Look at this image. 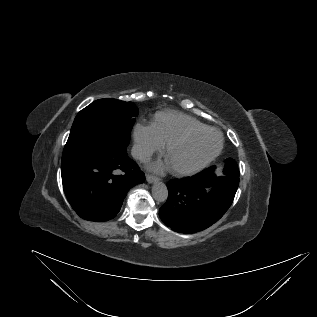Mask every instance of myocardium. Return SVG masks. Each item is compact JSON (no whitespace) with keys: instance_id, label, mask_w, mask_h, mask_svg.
<instances>
[{"instance_id":"f54148a6","label":"myocardium","mask_w":317,"mask_h":317,"mask_svg":"<svg viewBox=\"0 0 317 317\" xmlns=\"http://www.w3.org/2000/svg\"><path fill=\"white\" fill-rule=\"evenodd\" d=\"M205 132H215L219 136V144H218L217 148L208 157H206L204 160H202L201 162H199L198 164H196L192 167H189L186 169H171V171L174 175H176V176H188V175L195 174V173L201 171L202 169H204L205 167H207L221 153V151L223 149V144H224V138H223L222 133L215 128L204 127V128L187 130V131L183 132L182 134L178 135L177 137L171 139L164 146V150H163L164 156H166L167 153L170 150H172L174 147L181 145L189 138H191L195 135L201 134V133H205Z\"/></svg>"}]
</instances>
